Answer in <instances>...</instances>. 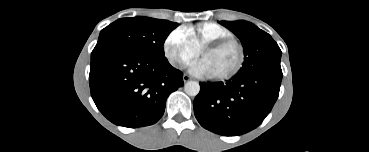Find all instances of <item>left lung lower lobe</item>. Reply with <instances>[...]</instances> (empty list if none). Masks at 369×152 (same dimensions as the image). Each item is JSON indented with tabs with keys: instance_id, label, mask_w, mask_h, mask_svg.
Listing matches in <instances>:
<instances>
[{
	"instance_id": "left-lung-lower-lobe-1",
	"label": "left lung lower lobe",
	"mask_w": 369,
	"mask_h": 152,
	"mask_svg": "<svg viewBox=\"0 0 369 152\" xmlns=\"http://www.w3.org/2000/svg\"><path fill=\"white\" fill-rule=\"evenodd\" d=\"M282 73L234 76L226 83H200L194 99L196 119L205 129L237 136L259 126L279 95Z\"/></svg>"
}]
</instances>
